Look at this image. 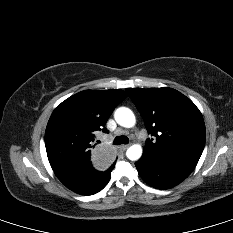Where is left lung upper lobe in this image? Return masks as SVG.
<instances>
[{"mask_svg": "<svg viewBox=\"0 0 233 233\" xmlns=\"http://www.w3.org/2000/svg\"><path fill=\"white\" fill-rule=\"evenodd\" d=\"M149 134L145 151L157 155L200 158L206 139L205 124L196 105L179 91L163 88H127Z\"/></svg>", "mask_w": 233, "mask_h": 233, "instance_id": "5c2ea615", "label": "left lung upper lobe"}]
</instances>
